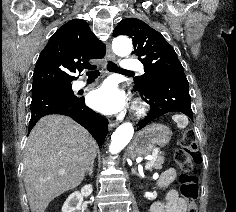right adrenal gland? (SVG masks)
Segmentation results:
<instances>
[{
	"instance_id": "obj_1",
	"label": "right adrenal gland",
	"mask_w": 236,
	"mask_h": 212,
	"mask_svg": "<svg viewBox=\"0 0 236 212\" xmlns=\"http://www.w3.org/2000/svg\"><path fill=\"white\" fill-rule=\"evenodd\" d=\"M93 168H94V161L91 163L90 167L88 168V170L86 171L85 175H89L92 176L93 175Z\"/></svg>"
}]
</instances>
